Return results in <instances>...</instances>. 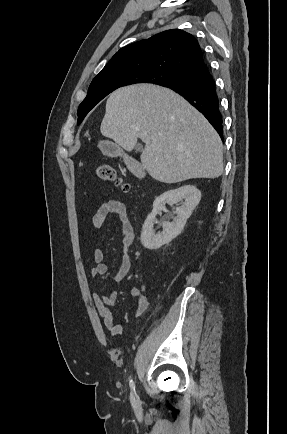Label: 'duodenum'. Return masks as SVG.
Segmentation results:
<instances>
[{
  "instance_id": "duodenum-1",
  "label": "duodenum",
  "mask_w": 287,
  "mask_h": 434,
  "mask_svg": "<svg viewBox=\"0 0 287 434\" xmlns=\"http://www.w3.org/2000/svg\"><path fill=\"white\" fill-rule=\"evenodd\" d=\"M136 172L140 173V170H138L137 168L135 169Z\"/></svg>"
}]
</instances>
